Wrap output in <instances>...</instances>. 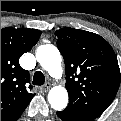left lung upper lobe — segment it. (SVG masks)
Masks as SVG:
<instances>
[{"label":"left lung upper lobe","instance_id":"obj_1","mask_svg":"<svg viewBox=\"0 0 121 121\" xmlns=\"http://www.w3.org/2000/svg\"><path fill=\"white\" fill-rule=\"evenodd\" d=\"M66 68L69 104L65 112L90 121L112 103L120 69L110 44L101 36L74 28L55 32Z\"/></svg>","mask_w":121,"mask_h":121}]
</instances>
